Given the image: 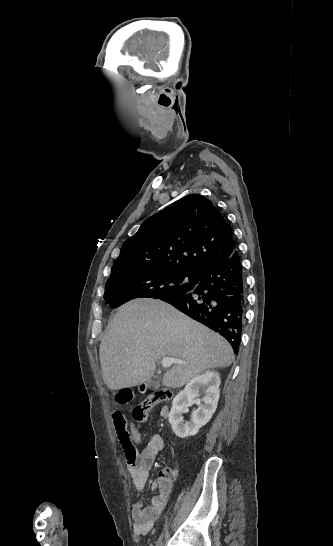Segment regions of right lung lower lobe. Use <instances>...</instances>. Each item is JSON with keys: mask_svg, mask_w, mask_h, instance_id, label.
<instances>
[{"mask_svg": "<svg viewBox=\"0 0 333 546\" xmlns=\"http://www.w3.org/2000/svg\"><path fill=\"white\" fill-rule=\"evenodd\" d=\"M197 287L186 294L160 299L225 337L237 354L245 313V280L237 250L198 275Z\"/></svg>", "mask_w": 333, "mask_h": 546, "instance_id": "1", "label": "right lung lower lobe"}]
</instances>
